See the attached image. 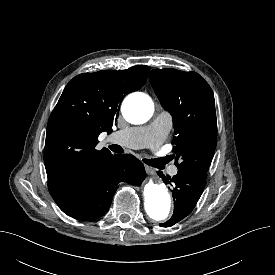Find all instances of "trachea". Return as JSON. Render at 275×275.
Wrapping results in <instances>:
<instances>
[{"label": "trachea", "mask_w": 275, "mask_h": 275, "mask_svg": "<svg viewBox=\"0 0 275 275\" xmlns=\"http://www.w3.org/2000/svg\"><path fill=\"white\" fill-rule=\"evenodd\" d=\"M109 148L115 153H122V147L119 145H110ZM143 162L149 166L158 167L159 159H143Z\"/></svg>", "instance_id": "trachea-1"}]
</instances>
